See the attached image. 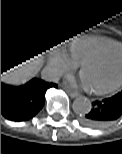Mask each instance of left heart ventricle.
Returning <instances> with one entry per match:
<instances>
[{"instance_id": "left-heart-ventricle-1", "label": "left heart ventricle", "mask_w": 122, "mask_h": 154, "mask_svg": "<svg viewBox=\"0 0 122 154\" xmlns=\"http://www.w3.org/2000/svg\"><path fill=\"white\" fill-rule=\"evenodd\" d=\"M122 76V49H115L87 64L82 79L90 89H97L116 82Z\"/></svg>"}]
</instances>
